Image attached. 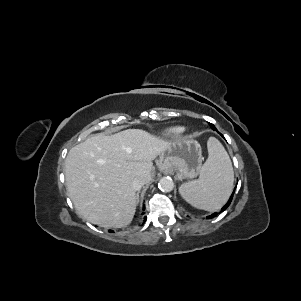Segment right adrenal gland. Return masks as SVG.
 Segmentation results:
<instances>
[{
  "mask_svg": "<svg viewBox=\"0 0 301 301\" xmlns=\"http://www.w3.org/2000/svg\"><path fill=\"white\" fill-rule=\"evenodd\" d=\"M138 202H139V192H137L136 194V204H138Z\"/></svg>",
  "mask_w": 301,
  "mask_h": 301,
  "instance_id": "right-adrenal-gland-1",
  "label": "right adrenal gland"
}]
</instances>
